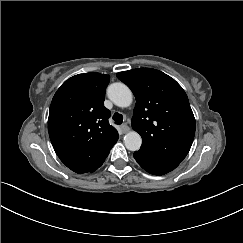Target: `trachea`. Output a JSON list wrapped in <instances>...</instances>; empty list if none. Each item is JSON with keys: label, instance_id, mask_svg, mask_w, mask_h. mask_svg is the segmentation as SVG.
Wrapping results in <instances>:
<instances>
[{"label": "trachea", "instance_id": "3493384b", "mask_svg": "<svg viewBox=\"0 0 243 243\" xmlns=\"http://www.w3.org/2000/svg\"><path fill=\"white\" fill-rule=\"evenodd\" d=\"M113 120L115 121V124L120 125L123 122V116L120 113H115L113 115Z\"/></svg>", "mask_w": 243, "mask_h": 243}]
</instances>
